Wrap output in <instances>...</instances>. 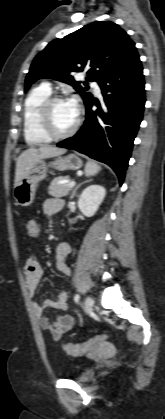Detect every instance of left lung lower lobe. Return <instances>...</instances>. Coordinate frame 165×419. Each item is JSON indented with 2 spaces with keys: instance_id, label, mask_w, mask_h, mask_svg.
I'll list each match as a JSON object with an SVG mask.
<instances>
[{
  "instance_id": "1",
  "label": "left lung lower lobe",
  "mask_w": 165,
  "mask_h": 419,
  "mask_svg": "<svg viewBox=\"0 0 165 419\" xmlns=\"http://www.w3.org/2000/svg\"><path fill=\"white\" fill-rule=\"evenodd\" d=\"M144 85L143 69L135 48L100 81L103 104L94 99L87 103L82 128L57 146L76 150L108 164L122 185L133 141L143 117ZM93 105L98 107L96 111L92 110Z\"/></svg>"
}]
</instances>
